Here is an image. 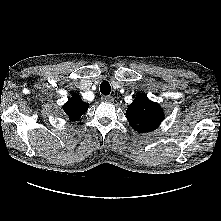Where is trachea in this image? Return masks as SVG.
<instances>
[{"mask_svg": "<svg viewBox=\"0 0 221 221\" xmlns=\"http://www.w3.org/2000/svg\"><path fill=\"white\" fill-rule=\"evenodd\" d=\"M111 91V86L108 81H103L100 84V92L104 95H109Z\"/></svg>", "mask_w": 221, "mask_h": 221, "instance_id": "obj_1", "label": "trachea"}]
</instances>
